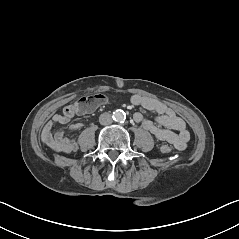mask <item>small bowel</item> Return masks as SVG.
Wrapping results in <instances>:
<instances>
[{
  "label": "small bowel",
  "instance_id": "small-bowel-1",
  "mask_svg": "<svg viewBox=\"0 0 239 239\" xmlns=\"http://www.w3.org/2000/svg\"><path fill=\"white\" fill-rule=\"evenodd\" d=\"M131 103L157 113L155 121H151L146 119L142 113L137 112L134 114L135 122L139 123L158 140L168 142L178 150L186 149L190 138L189 132L185 122L176 115L172 108L157 99L138 94L131 97ZM93 108L95 107L76 110L74 104L66 106L62 113L55 114L43 128L42 141L44 144L55 152H74L77 149V143L68 134L80 130L82 124H71L57 132H53V128L56 124L67 123L75 114H83Z\"/></svg>",
  "mask_w": 239,
  "mask_h": 239
}]
</instances>
